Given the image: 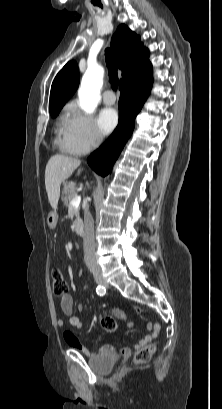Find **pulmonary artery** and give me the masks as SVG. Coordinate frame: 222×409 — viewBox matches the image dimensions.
Returning <instances> with one entry per match:
<instances>
[{
  "label": "pulmonary artery",
  "mask_w": 222,
  "mask_h": 409,
  "mask_svg": "<svg viewBox=\"0 0 222 409\" xmlns=\"http://www.w3.org/2000/svg\"><path fill=\"white\" fill-rule=\"evenodd\" d=\"M116 101L115 95L111 90H106L103 94V102L106 105H112Z\"/></svg>",
  "instance_id": "e3ab8cb5"
}]
</instances>
